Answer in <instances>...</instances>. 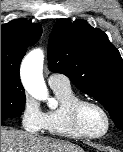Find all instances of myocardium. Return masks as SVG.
I'll return each mask as SVG.
<instances>
[{
    "instance_id": "1",
    "label": "myocardium",
    "mask_w": 123,
    "mask_h": 152,
    "mask_svg": "<svg viewBox=\"0 0 123 152\" xmlns=\"http://www.w3.org/2000/svg\"><path fill=\"white\" fill-rule=\"evenodd\" d=\"M88 105L97 108L105 117L106 128L100 134H91V133L87 132L81 124V119H80L81 111L85 106H88ZM70 118H71V122H72V125L75 128V130L83 137L90 138V139H98V138L105 136L111 127V119H110L108 112L101 104H99L98 102L93 101V100L79 98L78 100L74 101L70 107Z\"/></svg>"
}]
</instances>
